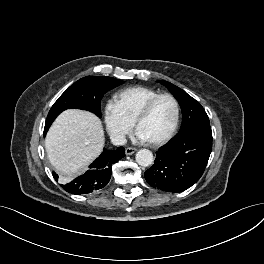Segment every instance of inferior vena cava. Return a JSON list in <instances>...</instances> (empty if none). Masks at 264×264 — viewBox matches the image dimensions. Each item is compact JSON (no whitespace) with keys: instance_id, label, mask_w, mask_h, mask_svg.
<instances>
[{"instance_id":"obj_1","label":"inferior vena cava","mask_w":264,"mask_h":264,"mask_svg":"<svg viewBox=\"0 0 264 264\" xmlns=\"http://www.w3.org/2000/svg\"><path fill=\"white\" fill-rule=\"evenodd\" d=\"M111 142L116 146H123L127 143V139L122 133H114L110 137Z\"/></svg>"}]
</instances>
